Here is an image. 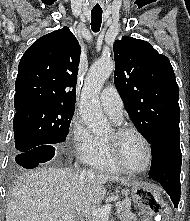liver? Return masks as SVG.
<instances>
[{
    "label": "liver",
    "mask_w": 190,
    "mask_h": 221,
    "mask_svg": "<svg viewBox=\"0 0 190 221\" xmlns=\"http://www.w3.org/2000/svg\"><path fill=\"white\" fill-rule=\"evenodd\" d=\"M108 181L133 184L116 176L56 167L26 171L10 191L6 221H62L69 214L74 215L70 221H78L102 202Z\"/></svg>",
    "instance_id": "obj_1"
}]
</instances>
